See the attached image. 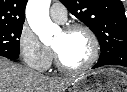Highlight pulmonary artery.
Listing matches in <instances>:
<instances>
[{
	"label": "pulmonary artery",
	"mask_w": 127,
	"mask_h": 92,
	"mask_svg": "<svg viewBox=\"0 0 127 92\" xmlns=\"http://www.w3.org/2000/svg\"><path fill=\"white\" fill-rule=\"evenodd\" d=\"M49 14L51 18L58 23H64L67 20V10L64 5L59 2L52 4L49 9Z\"/></svg>",
	"instance_id": "pulmonary-artery-1"
}]
</instances>
